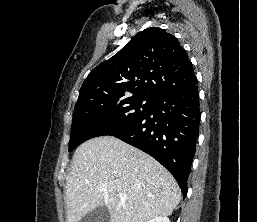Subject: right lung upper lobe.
Wrapping results in <instances>:
<instances>
[{"mask_svg": "<svg viewBox=\"0 0 257 222\" xmlns=\"http://www.w3.org/2000/svg\"><path fill=\"white\" fill-rule=\"evenodd\" d=\"M197 81L186 51L172 34L147 28L110 59L94 68L79 91L77 104L93 97H158Z\"/></svg>", "mask_w": 257, "mask_h": 222, "instance_id": "cb5924a9", "label": "right lung upper lobe"}]
</instances>
